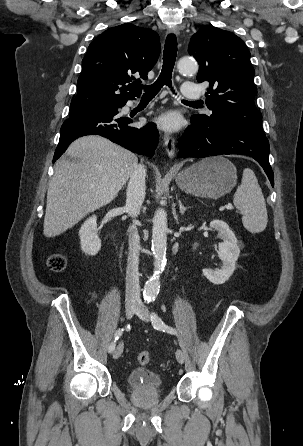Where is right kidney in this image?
<instances>
[{
  "label": "right kidney",
  "mask_w": 303,
  "mask_h": 446,
  "mask_svg": "<svg viewBox=\"0 0 303 446\" xmlns=\"http://www.w3.org/2000/svg\"><path fill=\"white\" fill-rule=\"evenodd\" d=\"M97 217L88 218L79 230L81 249L85 254L94 256L101 249V240L97 235Z\"/></svg>",
  "instance_id": "ca27d5eb"
}]
</instances>
